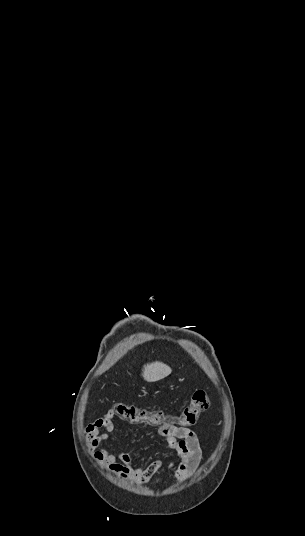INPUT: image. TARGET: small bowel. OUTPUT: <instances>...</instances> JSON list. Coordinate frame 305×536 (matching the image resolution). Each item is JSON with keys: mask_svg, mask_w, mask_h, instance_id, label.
<instances>
[{"mask_svg": "<svg viewBox=\"0 0 305 536\" xmlns=\"http://www.w3.org/2000/svg\"><path fill=\"white\" fill-rule=\"evenodd\" d=\"M115 413L104 411L102 418L94 420L93 424L84 427L86 434V446L92 458L118 478L130 479L143 485L163 467H167L173 474L176 483L187 480L196 471L202 459V447L197 434L188 427L177 426L173 422L172 427H158L157 433L164 439L168 449L174 450L176 460L165 462L154 460L143 467L129 454L124 452L112 453L105 446L109 440V434H105L107 427L116 425Z\"/></svg>", "mask_w": 305, "mask_h": 536, "instance_id": "1", "label": "small bowel"}]
</instances>
